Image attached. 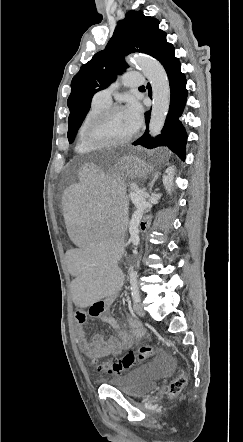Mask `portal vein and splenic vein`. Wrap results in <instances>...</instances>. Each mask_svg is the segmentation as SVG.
<instances>
[{
    "label": "portal vein and splenic vein",
    "mask_w": 243,
    "mask_h": 442,
    "mask_svg": "<svg viewBox=\"0 0 243 442\" xmlns=\"http://www.w3.org/2000/svg\"><path fill=\"white\" fill-rule=\"evenodd\" d=\"M129 197L131 198L132 201H134L137 199L138 196L135 193H130Z\"/></svg>",
    "instance_id": "obj_1"
}]
</instances>
